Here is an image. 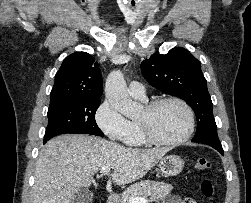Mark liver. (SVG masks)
<instances>
[{
  "label": "liver",
  "instance_id": "1",
  "mask_svg": "<svg viewBox=\"0 0 251 203\" xmlns=\"http://www.w3.org/2000/svg\"><path fill=\"white\" fill-rule=\"evenodd\" d=\"M169 148H128L88 135H61L42 147L36 161L33 203H71L88 188L102 167L112 168V180L125 185L143 178Z\"/></svg>",
  "mask_w": 251,
  "mask_h": 203
}]
</instances>
